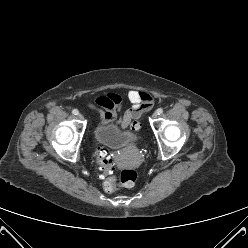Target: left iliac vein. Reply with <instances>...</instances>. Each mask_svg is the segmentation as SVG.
Segmentation results:
<instances>
[{"label":"left iliac vein","mask_w":248,"mask_h":248,"mask_svg":"<svg viewBox=\"0 0 248 248\" xmlns=\"http://www.w3.org/2000/svg\"><path fill=\"white\" fill-rule=\"evenodd\" d=\"M157 116H158L157 112H154V113L152 114V118H153V119L157 118Z\"/></svg>","instance_id":"1"}]
</instances>
